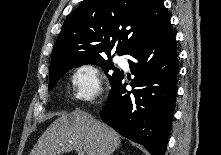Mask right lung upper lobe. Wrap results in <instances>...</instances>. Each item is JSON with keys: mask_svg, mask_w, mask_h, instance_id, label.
<instances>
[{"mask_svg": "<svg viewBox=\"0 0 221 155\" xmlns=\"http://www.w3.org/2000/svg\"><path fill=\"white\" fill-rule=\"evenodd\" d=\"M170 23L161 0H84L65 20L50 72L80 62L129 54L146 35Z\"/></svg>", "mask_w": 221, "mask_h": 155, "instance_id": "1", "label": "right lung upper lobe"}]
</instances>
